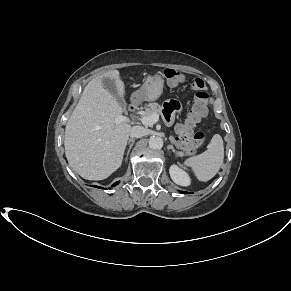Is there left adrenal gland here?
I'll list each match as a JSON object with an SVG mask.
<instances>
[{
	"instance_id": "left-adrenal-gland-1",
	"label": "left adrenal gland",
	"mask_w": 291,
	"mask_h": 291,
	"mask_svg": "<svg viewBox=\"0 0 291 291\" xmlns=\"http://www.w3.org/2000/svg\"><path fill=\"white\" fill-rule=\"evenodd\" d=\"M167 149H168V150L171 149L172 152H174L177 156H181V154L175 150V148L173 147V145H168V146H167Z\"/></svg>"
}]
</instances>
